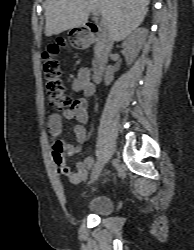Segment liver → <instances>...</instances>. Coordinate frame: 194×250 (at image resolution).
Here are the masks:
<instances>
[{
    "label": "liver",
    "mask_w": 194,
    "mask_h": 250,
    "mask_svg": "<svg viewBox=\"0 0 194 250\" xmlns=\"http://www.w3.org/2000/svg\"><path fill=\"white\" fill-rule=\"evenodd\" d=\"M149 0H47L45 35H58L85 26L90 12L97 10L106 20L109 38L121 41L144 20Z\"/></svg>",
    "instance_id": "obj_1"
}]
</instances>
